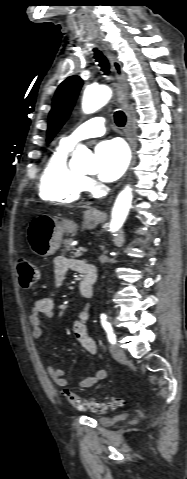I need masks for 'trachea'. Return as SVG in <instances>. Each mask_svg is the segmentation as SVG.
I'll return each instance as SVG.
<instances>
[{"instance_id": "obj_1", "label": "trachea", "mask_w": 187, "mask_h": 479, "mask_svg": "<svg viewBox=\"0 0 187 479\" xmlns=\"http://www.w3.org/2000/svg\"><path fill=\"white\" fill-rule=\"evenodd\" d=\"M94 57L96 61L99 63V66L101 67V70L104 72L105 75H108L110 73L109 71V64L107 59L104 57V55L97 49H94ZM114 120L117 126L123 127L126 122V116L123 111H116L114 113Z\"/></svg>"}]
</instances>
